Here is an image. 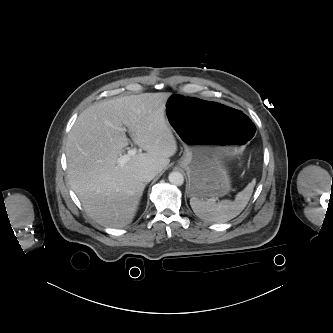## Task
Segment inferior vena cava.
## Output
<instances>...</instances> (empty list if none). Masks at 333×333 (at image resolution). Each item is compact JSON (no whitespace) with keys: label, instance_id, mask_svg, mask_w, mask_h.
Here are the masks:
<instances>
[{"label":"inferior vena cava","instance_id":"obj_1","mask_svg":"<svg viewBox=\"0 0 333 333\" xmlns=\"http://www.w3.org/2000/svg\"><path fill=\"white\" fill-rule=\"evenodd\" d=\"M157 173L158 171L156 169L150 167H144L139 169L137 173V178L141 182H149L156 176Z\"/></svg>","mask_w":333,"mask_h":333}]
</instances>
